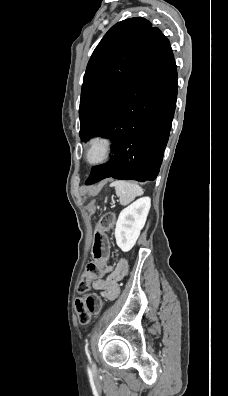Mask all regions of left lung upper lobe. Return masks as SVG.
<instances>
[{
    "label": "left lung upper lobe",
    "instance_id": "1",
    "mask_svg": "<svg viewBox=\"0 0 228 396\" xmlns=\"http://www.w3.org/2000/svg\"><path fill=\"white\" fill-rule=\"evenodd\" d=\"M160 35L148 20L136 17L118 22L102 38L83 79L79 108L82 140L102 134Z\"/></svg>",
    "mask_w": 228,
    "mask_h": 396
}]
</instances>
